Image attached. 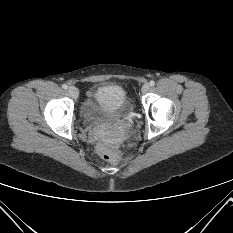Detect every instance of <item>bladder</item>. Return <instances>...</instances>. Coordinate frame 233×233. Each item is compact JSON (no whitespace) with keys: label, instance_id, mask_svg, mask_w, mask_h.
<instances>
[{"label":"bladder","instance_id":"bladder-1","mask_svg":"<svg viewBox=\"0 0 233 233\" xmlns=\"http://www.w3.org/2000/svg\"><path fill=\"white\" fill-rule=\"evenodd\" d=\"M134 103L124 86L116 82L94 84L80 107V114L89 120H105L131 113Z\"/></svg>","mask_w":233,"mask_h":233}]
</instances>
